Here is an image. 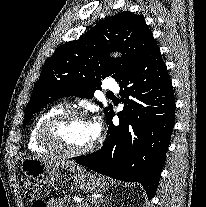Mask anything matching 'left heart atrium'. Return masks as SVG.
Masks as SVG:
<instances>
[{
    "mask_svg": "<svg viewBox=\"0 0 206 207\" xmlns=\"http://www.w3.org/2000/svg\"><path fill=\"white\" fill-rule=\"evenodd\" d=\"M91 128H92V135H93V140L99 137L102 131V121L100 118H97L91 123Z\"/></svg>",
    "mask_w": 206,
    "mask_h": 207,
    "instance_id": "obj_1",
    "label": "left heart atrium"
}]
</instances>
